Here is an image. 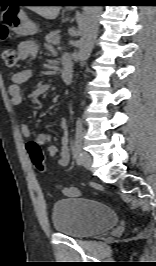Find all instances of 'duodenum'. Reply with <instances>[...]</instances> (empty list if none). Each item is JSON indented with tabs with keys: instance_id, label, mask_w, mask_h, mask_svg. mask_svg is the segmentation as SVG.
<instances>
[{
	"instance_id": "410a0bca",
	"label": "duodenum",
	"mask_w": 156,
	"mask_h": 266,
	"mask_svg": "<svg viewBox=\"0 0 156 266\" xmlns=\"http://www.w3.org/2000/svg\"><path fill=\"white\" fill-rule=\"evenodd\" d=\"M61 77L65 84H70L73 79V64L70 58H63V67L61 71Z\"/></svg>"
}]
</instances>
